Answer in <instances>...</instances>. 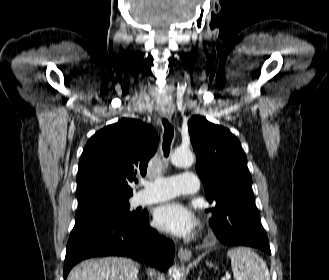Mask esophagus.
<instances>
[{
  "mask_svg": "<svg viewBox=\"0 0 329 280\" xmlns=\"http://www.w3.org/2000/svg\"><path fill=\"white\" fill-rule=\"evenodd\" d=\"M162 115L169 120L172 118V114L169 112H163ZM178 257L181 261H188L192 257V252L187 248L180 247L178 251Z\"/></svg>",
  "mask_w": 329,
  "mask_h": 280,
  "instance_id": "1",
  "label": "esophagus"
}]
</instances>
